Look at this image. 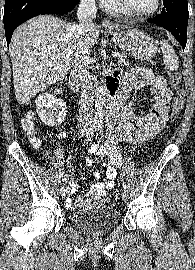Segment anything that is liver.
<instances>
[{
    "label": "liver",
    "instance_id": "obj_1",
    "mask_svg": "<svg viewBox=\"0 0 195 270\" xmlns=\"http://www.w3.org/2000/svg\"><path fill=\"white\" fill-rule=\"evenodd\" d=\"M75 24L43 15L19 26L10 44L16 100L27 103L40 91L62 80L71 68ZM99 37L96 25L89 31V44Z\"/></svg>",
    "mask_w": 195,
    "mask_h": 270
}]
</instances>
